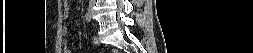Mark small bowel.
<instances>
[{"instance_id": "c3829d8e", "label": "small bowel", "mask_w": 253, "mask_h": 53, "mask_svg": "<svg viewBox=\"0 0 253 53\" xmlns=\"http://www.w3.org/2000/svg\"><path fill=\"white\" fill-rule=\"evenodd\" d=\"M63 16H64V18H67V17H68V9H67L66 7L64 8ZM63 33H64V34L67 33V28H64V29H63ZM64 47H65V48H68V42H67V41H64Z\"/></svg>"}]
</instances>
